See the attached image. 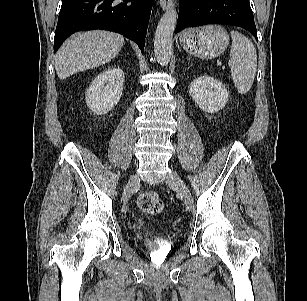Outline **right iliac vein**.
Here are the masks:
<instances>
[{
  "label": "right iliac vein",
  "instance_id": "63e3f726",
  "mask_svg": "<svg viewBox=\"0 0 307 301\" xmlns=\"http://www.w3.org/2000/svg\"><path fill=\"white\" fill-rule=\"evenodd\" d=\"M139 183V177L137 175H132L129 179V182L125 188L124 194H123V203L126 204L128 200L130 199L134 187Z\"/></svg>",
  "mask_w": 307,
  "mask_h": 301
}]
</instances>
